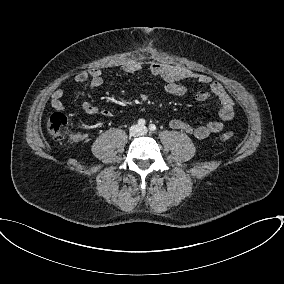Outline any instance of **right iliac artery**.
Segmentation results:
<instances>
[{
    "instance_id": "right-iliac-artery-1",
    "label": "right iliac artery",
    "mask_w": 284,
    "mask_h": 284,
    "mask_svg": "<svg viewBox=\"0 0 284 284\" xmlns=\"http://www.w3.org/2000/svg\"><path fill=\"white\" fill-rule=\"evenodd\" d=\"M145 124H146V122H145L144 119H139V120H138V125H139V126L143 127V126H145Z\"/></svg>"
}]
</instances>
